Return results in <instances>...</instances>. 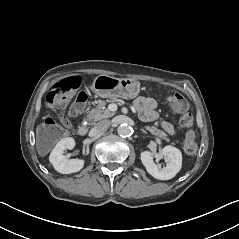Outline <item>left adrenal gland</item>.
<instances>
[{
    "instance_id": "1",
    "label": "left adrenal gland",
    "mask_w": 239,
    "mask_h": 239,
    "mask_svg": "<svg viewBox=\"0 0 239 239\" xmlns=\"http://www.w3.org/2000/svg\"><path fill=\"white\" fill-rule=\"evenodd\" d=\"M142 132L147 133L144 129H141Z\"/></svg>"
}]
</instances>
